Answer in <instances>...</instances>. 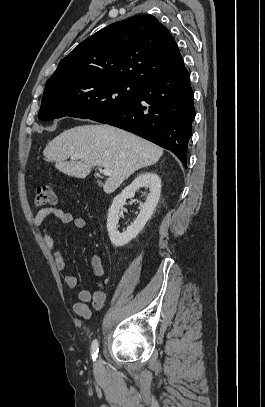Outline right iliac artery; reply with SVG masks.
I'll return each mask as SVG.
<instances>
[{"label": "right iliac artery", "instance_id": "right-iliac-artery-1", "mask_svg": "<svg viewBox=\"0 0 265 407\" xmlns=\"http://www.w3.org/2000/svg\"><path fill=\"white\" fill-rule=\"evenodd\" d=\"M98 352H99L98 341L95 339L92 342V346H91V353H92L93 360H96V358L98 357Z\"/></svg>", "mask_w": 265, "mask_h": 407}]
</instances>
